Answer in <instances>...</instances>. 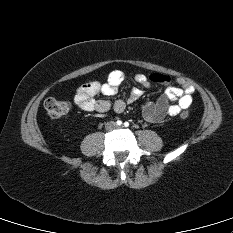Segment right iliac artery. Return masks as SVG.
<instances>
[{"label":"right iliac artery","mask_w":233,"mask_h":233,"mask_svg":"<svg viewBox=\"0 0 233 233\" xmlns=\"http://www.w3.org/2000/svg\"><path fill=\"white\" fill-rule=\"evenodd\" d=\"M116 123H117V125H119V126L122 125V121H121V120H118Z\"/></svg>","instance_id":"obj_1"}]
</instances>
